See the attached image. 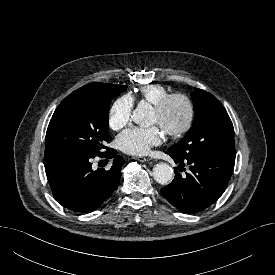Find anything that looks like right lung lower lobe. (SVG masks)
Returning <instances> with one entry per match:
<instances>
[{
	"instance_id": "1",
	"label": "right lung lower lobe",
	"mask_w": 275,
	"mask_h": 275,
	"mask_svg": "<svg viewBox=\"0 0 275 275\" xmlns=\"http://www.w3.org/2000/svg\"><path fill=\"white\" fill-rule=\"evenodd\" d=\"M100 157L113 158L109 170H92L95 157L54 153L44 155L46 176L54 198L63 207L79 213L97 209L118 187L124 159L108 148Z\"/></svg>"
}]
</instances>
